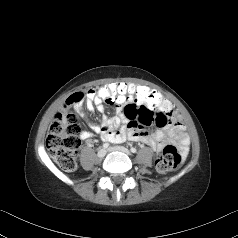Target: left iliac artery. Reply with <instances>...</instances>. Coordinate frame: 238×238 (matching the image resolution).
Wrapping results in <instances>:
<instances>
[{
    "label": "left iliac artery",
    "mask_w": 238,
    "mask_h": 238,
    "mask_svg": "<svg viewBox=\"0 0 238 238\" xmlns=\"http://www.w3.org/2000/svg\"><path fill=\"white\" fill-rule=\"evenodd\" d=\"M131 152H132V153H136V152H137L136 148H133V147H132V148H131Z\"/></svg>",
    "instance_id": "44dca946"
}]
</instances>
